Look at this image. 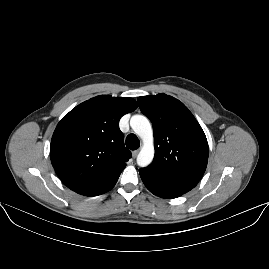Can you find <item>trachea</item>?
<instances>
[{"label":"trachea","instance_id":"1","mask_svg":"<svg viewBox=\"0 0 269 269\" xmlns=\"http://www.w3.org/2000/svg\"><path fill=\"white\" fill-rule=\"evenodd\" d=\"M139 139L137 138V136L135 134H129L126 138V146L130 149V150H136L139 148Z\"/></svg>","mask_w":269,"mask_h":269}]
</instances>
